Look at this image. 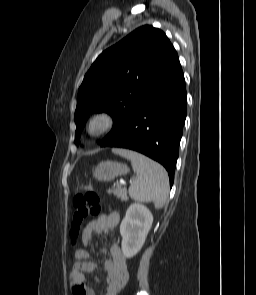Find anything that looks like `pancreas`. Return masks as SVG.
Masks as SVG:
<instances>
[{
    "label": "pancreas",
    "mask_w": 256,
    "mask_h": 295,
    "mask_svg": "<svg viewBox=\"0 0 256 295\" xmlns=\"http://www.w3.org/2000/svg\"><path fill=\"white\" fill-rule=\"evenodd\" d=\"M112 193L122 200L127 199V191L125 188H121V185H117L116 188L112 190Z\"/></svg>",
    "instance_id": "cf45deb5"
}]
</instances>
